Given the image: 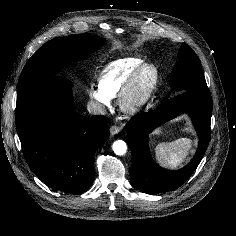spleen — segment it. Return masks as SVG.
Listing matches in <instances>:
<instances>
[{
	"mask_svg": "<svg viewBox=\"0 0 236 236\" xmlns=\"http://www.w3.org/2000/svg\"><path fill=\"white\" fill-rule=\"evenodd\" d=\"M193 141L180 138L170 143H160L155 147L156 161L168 169L178 168L186 159Z\"/></svg>",
	"mask_w": 236,
	"mask_h": 236,
	"instance_id": "1",
	"label": "spleen"
}]
</instances>
